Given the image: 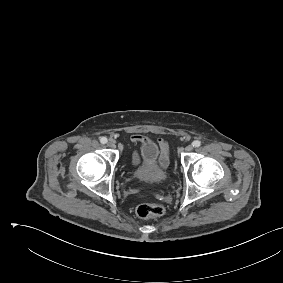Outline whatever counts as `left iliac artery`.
<instances>
[{
	"instance_id": "44dca946",
	"label": "left iliac artery",
	"mask_w": 283,
	"mask_h": 283,
	"mask_svg": "<svg viewBox=\"0 0 283 283\" xmlns=\"http://www.w3.org/2000/svg\"><path fill=\"white\" fill-rule=\"evenodd\" d=\"M192 144L194 147H199L201 145V142L198 140H195Z\"/></svg>"
}]
</instances>
